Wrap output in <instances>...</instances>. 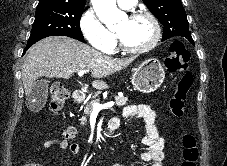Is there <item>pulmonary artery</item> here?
I'll use <instances>...</instances> for the list:
<instances>
[{
    "label": "pulmonary artery",
    "mask_w": 227,
    "mask_h": 166,
    "mask_svg": "<svg viewBox=\"0 0 227 166\" xmlns=\"http://www.w3.org/2000/svg\"><path fill=\"white\" fill-rule=\"evenodd\" d=\"M118 1V5L122 8V9H132L137 0H117Z\"/></svg>",
    "instance_id": "pulmonary-artery-1"
}]
</instances>
